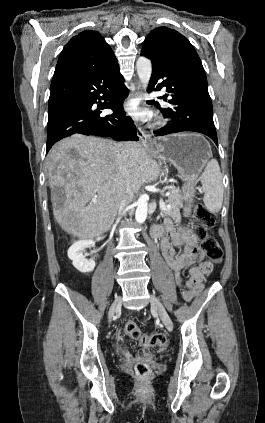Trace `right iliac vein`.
I'll use <instances>...</instances> for the list:
<instances>
[{"instance_id": "1", "label": "right iliac vein", "mask_w": 265, "mask_h": 423, "mask_svg": "<svg viewBox=\"0 0 265 423\" xmlns=\"http://www.w3.org/2000/svg\"><path fill=\"white\" fill-rule=\"evenodd\" d=\"M121 304H122V299L120 297L115 299V301L113 302V304H112V306L110 307V310H109V314H108L109 322H111V320L114 317V315L116 314V312H118L120 310Z\"/></svg>"}]
</instances>
